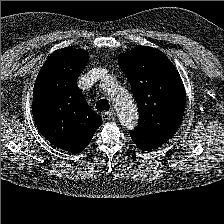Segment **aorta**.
Masks as SVG:
<instances>
[{
  "label": "aorta",
  "instance_id": "aorta-1",
  "mask_svg": "<svg viewBox=\"0 0 224 224\" xmlns=\"http://www.w3.org/2000/svg\"><path fill=\"white\" fill-rule=\"evenodd\" d=\"M102 87L115 107L121 125L128 130L135 128L138 124V111L132 95L111 76L104 78Z\"/></svg>",
  "mask_w": 224,
  "mask_h": 224
}]
</instances>
